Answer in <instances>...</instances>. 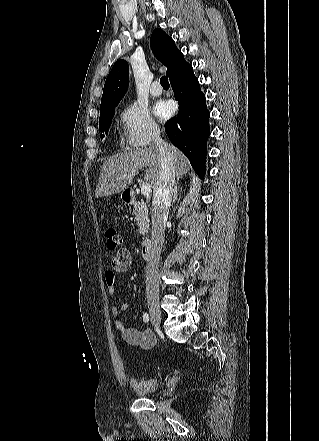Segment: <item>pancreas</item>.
Listing matches in <instances>:
<instances>
[{"mask_svg":"<svg viewBox=\"0 0 319 441\" xmlns=\"http://www.w3.org/2000/svg\"><path fill=\"white\" fill-rule=\"evenodd\" d=\"M133 215L139 226V232L143 236L147 235L149 230L148 208L143 200L134 204Z\"/></svg>","mask_w":319,"mask_h":441,"instance_id":"cf45deb5","label":"pancreas"}]
</instances>
